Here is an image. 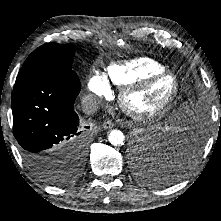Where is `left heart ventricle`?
Masks as SVG:
<instances>
[{
	"label": "left heart ventricle",
	"instance_id": "1",
	"mask_svg": "<svg viewBox=\"0 0 221 221\" xmlns=\"http://www.w3.org/2000/svg\"><path fill=\"white\" fill-rule=\"evenodd\" d=\"M172 89L173 82L170 79H160L132 96L129 103L134 108L149 110L159 105L171 93Z\"/></svg>",
	"mask_w": 221,
	"mask_h": 221
}]
</instances>
